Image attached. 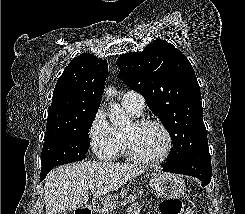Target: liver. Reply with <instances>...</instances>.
Here are the masks:
<instances>
[{
	"mask_svg": "<svg viewBox=\"0 0 245 214\" xmlns=\"http://www.w3.org/2000/svg\"><path fill=\"white\" fill-rule=\"evenodd\" d=\"M144 169L119 163L87 161L60 166L45 179L44 200L46 214L76 210L88 202L89 185H94L93 196L116 190Z\"/></svg>",
	"mask_w": 245,
	"mask_h": 214,
	"instance_id": "obj_1",
	"label": "liver"
}]
</instances>
